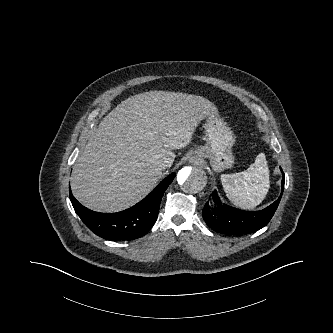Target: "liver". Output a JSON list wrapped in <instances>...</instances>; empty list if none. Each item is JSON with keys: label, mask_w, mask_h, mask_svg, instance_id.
Segmentation results:
<instances>
[{"label": "liver", "mask_w": 333, "mask_h": 333, "mask_svg": "<svg viewBox=\"0 0 333 333\" xmlns=\"http://www.w3.org/2000/svg\"><path fill=\"white\" fill-rule=\"evenodd\" d=\"M218 114L191 94L149 91L122 101L103 118L73 166L71 189L84 206L119 212L142 200L158 183L164 160L191 143L200 122Z\"/></svg>", "instance_id": "1"}]
</instances>
